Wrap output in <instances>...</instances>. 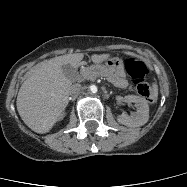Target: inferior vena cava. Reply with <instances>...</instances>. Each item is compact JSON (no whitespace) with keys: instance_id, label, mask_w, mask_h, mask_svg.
I'll return each instance as SVG.
<instances>
[{"instance_id":"602c4592","label":"inferior vena cava","mask_w":187,"mask_h":187,"mask_svg":"<svg viewBox=\"0 0 187 187\" xmlns=\"http://www.w3.org/2000/svg\"><path fill=\"white\" fill-rule=\"evenodd\" d=\"M81 90V85L80 84H73L70 88V95H75L79 93Z\"/></svg>"}]
</instances>
